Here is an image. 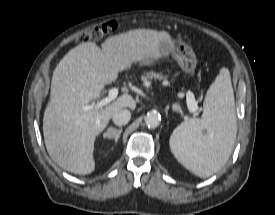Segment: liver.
Here are the masks:
<instances>
[{
  "label": "liver",
  "mask_w": 275,
  "mask_h": 215,
  "mask_svg": "<svg viewBox=\"0 0 275 215\" xmlns=\"http://www.w3.org/2000/svg\"><path fill=\"white\" fill-rule=\"evenodd\" d=\"M168 37L164 32L136 29L107 38L102 49L86 42L63 57L53 72L50 102L43 118L45 146L56 164L78 175L94 171L96 137L116 111L133 110L136 102L123 94L104 108L84 111L83 106L99 98L120 71L153 56L158 41Z\"/></svg>",
  "instance_id": "liver-1"
}]
</instances>
